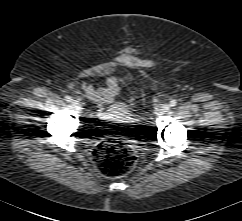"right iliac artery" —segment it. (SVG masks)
<instances>
[{"label": "right iliac artery", "instance_id": "1", "mask_svg": "<svg viewBox=\"0 0 242 221\" xmlns=\"http://www.w3.org/2000/svg\"><path fill=\"white\" fill-rule=\"evenodd\" d=\"M65 100H66L67 102H71V101H72V98H71L70 96H66V97H65Z\"/></svg>", "mask_w": 242, "mask_h": 221}]
</instances>
